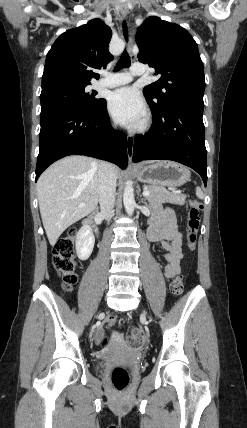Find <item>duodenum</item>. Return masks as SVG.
Wrapping results in <instances>:
<instances>
[{"label": "duodenum", "mask_w": 247, "mask_h": 428, "mask_svg": "<svg viewBox=\"0 0 247 428\" xmlns=\"http://www.w3.org/2000/svg\"><path fill=\"white\" fill-rule=\"evenodd\" d=\"M86 224L94 228V225H93V221H92V219H88V220L86 221Z\"/></svg>", "instance_id": "1"}]
</instances>
